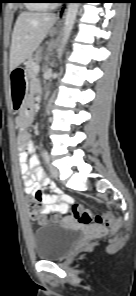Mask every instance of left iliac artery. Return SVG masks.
Wrapping results in <instances>:
<instances>
[{
    "mask_svg": "<svg viewBox=\"0 0 136 296\" xmlns=\"http://www.w3.org/2000/svg\"><path fill=\"white\" fill-rule=\"evenodd\" d=\"M43 157H44V160L48 163L49 162V155L46 150L43 151Z\"/></svg>",
    "mask_w": 136,
    "mask_h": 296,
    "instance_id": "1",
    "label": "left iliac artery"
}]
</instances>
